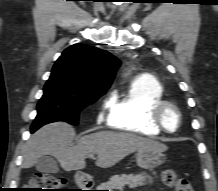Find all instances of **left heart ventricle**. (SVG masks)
I'll return each mask as SVG.
<instances>
[{
    "mask_svg": "<svg viewBox=\"0 0 218 191\" xmlns=\"http://www.w3.org/2000/svg\"><path fill=\"white\" fill-rule=\"evenodd\" d=\"M163 122L169 130H174L178 125V116L176 111L172 108L166 109L163 114Z\"/></svg>",
    "mask_w": 218,
    "mask_h": 191,
    "instance_id": "left-heart-ventricle-1",
    "label": "left heart ventricle"
}]
</instances>
